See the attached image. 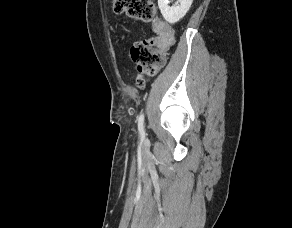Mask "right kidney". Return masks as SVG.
Segmentation results:
<instances>
[{"instance_id": "ca27d5eb", "label": "right kidney", "mask_w": 292, "mask_h": 228, "mask_svg": "<svg viewBox=\"0 0 292 228\" xmlns=\"http://www.w3.org/2000/svg\"><path fill=\"white\" fill-rule=\"evenodd\" d=\"M178 2L179 4L177 5L169 6V0H158V6L161 14L170 24L178 22L186 15L193 0H178Z\"/></svg>"}]
</instances>
